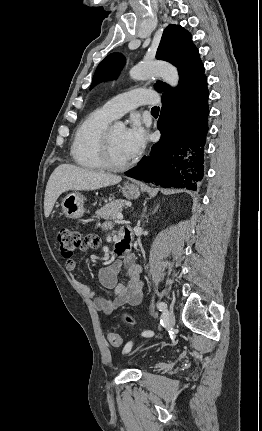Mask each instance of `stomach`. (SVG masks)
I'll use <instances>...</instances> for the list:
<instances>
[{
	"label": "stomach",
	"mask_w": 262,
	"mask_h": 431,
	"mask_svg": "<svg viewBox=\"0 0 262 431\" xmlns=\"http://www.w3.org/2000/svg\"><path fill=\"white\" fill-rule=\"evenodd\" d=\"M123 195L129 199H137L140 196V190L135 184L126 183L122 187ZM62 210L66 217L77 219L84 214V196L79 192H72L62 200Z\"/></svg>",
	"instance_id": "stomach-1"
}]
</instances>
